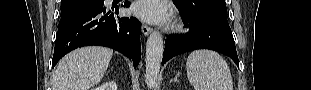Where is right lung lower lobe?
I'll list each match as a JSON object with an SVG mask.
<instances>
[{
	"label": "right lung lower lobe",
	"mask_w": 311,
	"mask_h": 90,
	"mask_svg": "<svg viewBox=\"0 0 311 90\" xmlns=\"http://www.w3.org/2000/svg\"><path fill=\"white\" fill-rule=\"evenodd\" d=\"M129 5L125 1L123 6ZM113 10L96 5L61 16L52 68L68 52L89 45L113 48L132 59L137 67L141 58L140 22L135 17H114Z\"/></svg>",
	"instance_id": "98d812e1"
}]
</instances>
